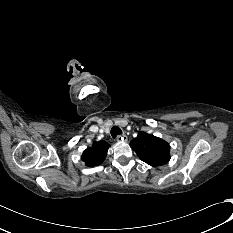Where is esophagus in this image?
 <instances>
[{"instance_id": "obj_1", "label": "esophagus", "mask_w": 233, "mask_h": 233, "mask_svg": "<svg viewBox=\"0 0 233 233\" xmlns=\"http://www.w3.org/2000/svg\"><path fill=\"white\" fill-rule=\"evenodd\" d=\"M116 140L118 142H126L127 141V136L124 135V134H122V135L120 134V135L117 136Z\"/></svg>"}]
</instances>
